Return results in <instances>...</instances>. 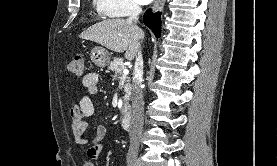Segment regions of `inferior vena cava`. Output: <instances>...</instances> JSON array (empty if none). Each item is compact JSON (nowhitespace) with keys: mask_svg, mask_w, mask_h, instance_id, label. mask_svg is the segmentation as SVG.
I'll return each mask as SVG.
<instances>
[{"mask_svg":"<svg viewBox=\"0 0 277 166\" xmlns=\"http://www.w3.org/2000/svg\"><path fill=\"white\" fill-rule=\"evenodd\" d=\"M141 12V7L134 4L132 6L128 22L133 24L137 23L138 17ZM133 75L134 79L132 85V119L131 129L129 133L130 146L128 150V157L130 158H136L138 155L140 137L143 129L144 101L141 88L143 76V58L141 52H138V56L136 57Z\"/></svg>","mask_w":277,"mask_h":166,"instance_id":"602c4592","label":"inferior vena cava"}]
</instances>
